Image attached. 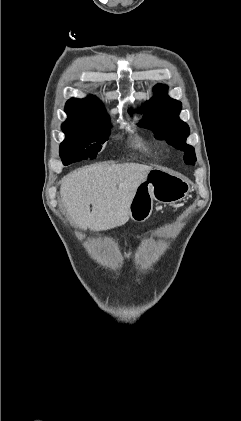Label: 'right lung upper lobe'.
Wrapping results in <instances>:
<instances>
[{
  "instance_id": "obj_1",
  "label": "right lung upper lobe",
  "mask_w": 241,
  "mask_h": 421,
  "mask_svg": "<svg viewBox=\"0 0 241 421\" xmlns=\"http://www.w3.org/2000/svg\"><path fill=\"white\" fill-rule=\"evenodd\" d=\"M65 112L68 114V119L65 123L90 124L100 119H109L103 104L94 96L68 100Z\"/></svg>"
}]
</instances>
